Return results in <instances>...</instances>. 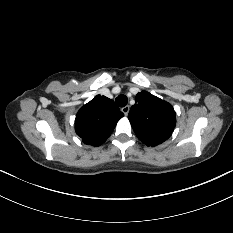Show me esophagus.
I'll list each match as a JSON object with an SVG mask.
<instances>
[{
    "label": "esophagus",
    "mask_w": 233,
    "mask_h": 233,
    "mask_svg": "<svg viewBox=\"0 0 233 233\" xmlns=\"http://www.w3.org/2000/svg\"><path fill=\"white\" fill-rule=\"evenodd\" d=\"M129 110H130V107L128 105L121 109V111L124 113L125 116L128 115Z\"/></svg>",
    "instance_id": "obj_1"
}]
</instances>
